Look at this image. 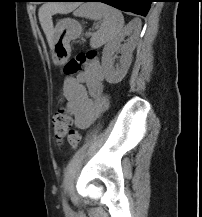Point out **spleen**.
Returning <instances> with one entry per match:
<instances>
[{
  "label": "spleen",
  "mask_w": 202,
  "mask_h": 217,
  "mask_svg": "<svg viewBox=\"0 0 202 217\" xmlns=\"http://www.w3.org/2000/svg\"><path fill=\"white\" fill-rule=\"evenodd\" d=\"M75 16L101 20L100 28L93 34L90 45L98 48L115 38L123 29L122 13L103 3H86L74 12Z\"/></svg>",
  "instance_id": "obj_1"
}]
</instances>
